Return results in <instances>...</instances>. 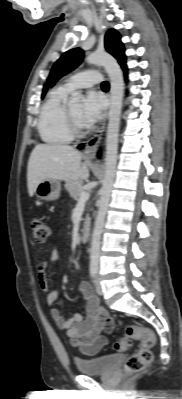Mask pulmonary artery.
<instances>
[{
  "label": "pulmonary artery",
  "instance_id": "obj_1",
  "mask_svg": "<svg viewBox=\"0 0 182 399\" xmlns=\"http://www.w3.org/2000/svg\"><path fill=\"white\" fill-rule=\"evenodd\" d=\"M102 81V75L97 70H86L69 77L62 85L67 91L89 88Z\"/></svg>",
  "mask_w": 182,
  "mask_h": 399
}]
</instances>
